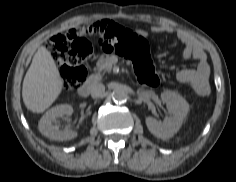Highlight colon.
Wrapping results in <instances>:
<instances>
[{"label": "colon", "mask_w": 236, "mask_h": 182, "mask_svg": "<svg viewBox=\"0 0 236 182\" xmlns=\"http://www.w3.org/2000/svg\"><path fill=\"white\" fill-rule=\"evenodd\" d=\"M99 36L104 47L129 59L138 81L149 87L159 84V74L152 61L146 39L113 21L95 22L67 33L56 34L47 42V49L56 60L62 86L72 90L87 76L85 63L92 53L89 37Z\"/></svg>", "instance_id": "1"}]
</instances>
